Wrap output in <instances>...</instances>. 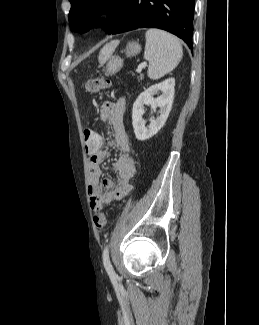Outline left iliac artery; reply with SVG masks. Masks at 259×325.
I'll return each mask as SVG.
<instances>
[{"label": "left iliac artery", "mask_w": 259, "mask_h": 325, "mask_svg": "<svg viewBox=\"0 0 259 325\" xmlns=\"http://www.w3.org/2000/svg\"><path fill=\"white\" fill-rule=\"evenodd\" d=\"M102 258H103L104 267H105L110 279L115 280L117 278V275H116V273L111 265L110 259H109L108 246H106L104 248Z\"/></svg>", "instance_id": "44dca946"}]
</instances>
